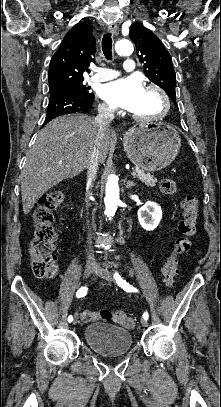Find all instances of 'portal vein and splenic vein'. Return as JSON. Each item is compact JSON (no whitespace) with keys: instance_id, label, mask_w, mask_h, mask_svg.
<instances>
[{"instance_id":"obj_1","label":"portal vein and splenic vein","mask_w":221,"mask_h":407,"mask_svg":"<svg viewBox=\"0 0 221 407\" xmlns=\"http://www.w3.org/2000/svg\"><path fill=\"white\" fill-rule=\"evenodd\" d=\"M131 175H133V176H134V175H135V172H134V171H133V172H131Z\"/></svg>"}]
</instances>
